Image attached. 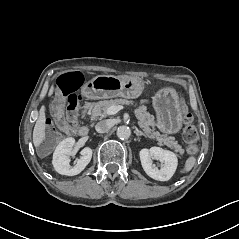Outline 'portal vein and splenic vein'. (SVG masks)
Instances as JSON below:
<instances>
[{
	"label": "portal vein and splenic vein",
	"mask_w": 239,
	"mask_h": 239,
	"mask_svg": "<svg viewBox=\"0 0 239 239\" xmlns=\"http://www.w3.org/2000/svg\"><path fill=\"white\" fill-rule=\"evenodd\" d=\"M121 109H123V106H121V105H119V106H111V107L108 108L107 113L109 115H114L118 111H120Z\"/></svg>",
	"instance_id": "obj_1"
}]
</instances>
